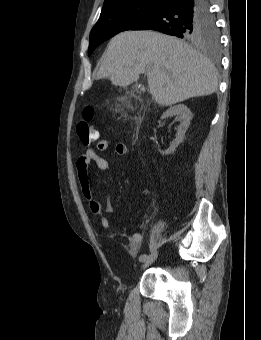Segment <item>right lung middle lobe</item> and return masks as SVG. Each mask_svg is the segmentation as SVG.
Listing matches in <instances>:
<instances>
[{"label": "right lung middle lobe", "mask_w": 261, "mask_h": 340, "mask_svg": "<svg viewBox=\"0 0 261 340\" xmlns=\"http://www.w3.org/2000/svg\"><path fill=\"white\" fill-rule=\"evenodd\" d=\"M161 1H135L101 12L98 22L90 33L89 55L105 40L122 31L130 30L153 12ZM182 38L191 42H204L212 46L217 45L219 35L211 13L209 12L193 21H189V25L184 29Z\"/></svg>", "instance_id": "1"}]
</instances>
